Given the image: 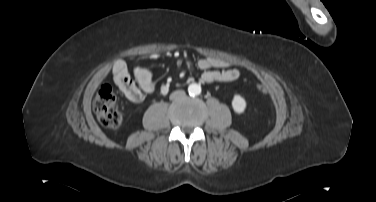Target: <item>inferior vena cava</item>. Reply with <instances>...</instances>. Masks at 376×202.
<instances>
[{
  "label": "inferior vena cava",
  "instance_id": "obj_1",
  "mask_svg": "<svg viewBox=\"0 0 376 202\" xmlns=\"http://www.w3.org/2000/svg\"><path fill=\"white\" fill-rule=\"evenodd\" d=\"M185 95V92L183 90L175 91L170 95V99H177L181 98Z\"/></svg>",
  "mask_w": 376,
  "mask_h": 202
}]
</instances>
